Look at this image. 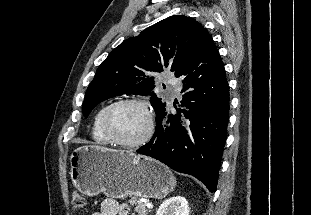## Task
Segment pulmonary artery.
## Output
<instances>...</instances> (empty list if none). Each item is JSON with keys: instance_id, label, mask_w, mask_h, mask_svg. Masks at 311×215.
Listing matches in <instances>:
<instances>
[{"instance_id": "obj_1", "label": "pulmonary artery", "mask_w": 311, "mask_h": 215, "mask_svg": "<svg viewBox=\"0 0 311 215\" xmlns=\"http://www.w3.org/2000/svg\"><path fill=\"white\" fill-rule=\"evenodd\" d=\"M166 82L171 86L174 95H178L181 90L180 83L173 77H167Z\"/></svg>"}]
</instances>
